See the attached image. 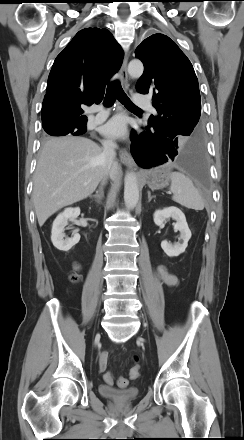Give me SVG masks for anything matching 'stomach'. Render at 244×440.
I'll return each instance as SVG.
<instances>
[{
  "mask_svg": "<svg viewBox=\"0 0 244 440\" xmlns=\"http://www.w3.org/2000/svg\"><path fill=\"white\" fill-rule=\"evenodd\" d=\"M170 168L166 165L157 167L147 173V184L151 189H161L168 185Z\"/></svg>",
  "mask_w": 244,
  "mask_h": 440,
  "instance_id": "0dacf381",
  "label": "stomach"
}]
</instances>
